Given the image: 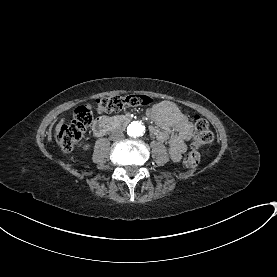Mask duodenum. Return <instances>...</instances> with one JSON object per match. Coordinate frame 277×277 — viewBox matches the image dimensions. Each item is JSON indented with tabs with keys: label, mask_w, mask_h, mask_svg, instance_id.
I'll return each instance as SVG.
<instances>
[{
	"label": "duodenum",
	"mask_w": 277,
	"mask_h": 277,
	"mask_svg": "<svg viewBox=\"0 0 277 277\" xmlns=\"http://www.w3.org/2000/svg\"><path fill=\"white\" fill-rule=\"evenodd\" d=\"M128 116H121L116 118L101 117L93 124V133L96 136H102L108 131L120 128L130 122Z\"/></svg>",
	"instance_id": "obj_1"
}]
</instances>
